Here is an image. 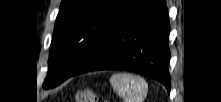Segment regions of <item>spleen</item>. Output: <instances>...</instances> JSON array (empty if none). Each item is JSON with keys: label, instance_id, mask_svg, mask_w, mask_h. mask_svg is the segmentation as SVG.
<instances>
[{"label": "spleen", "instance_id": "spleen-1", "mask_svg": "<svg viewBox=\"0 0 221 102\" xmlns=\"http://www.w3.org/2000/svg\"><path fill=\"white\" fill-rule=\"evenodd\" d=\"M110 84L124 102H143L148 91V85L142 77L129 73L113 74Z\"/></svg>", "mask_w": 221, "mask_h": 102}]
</instances>
